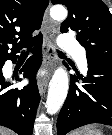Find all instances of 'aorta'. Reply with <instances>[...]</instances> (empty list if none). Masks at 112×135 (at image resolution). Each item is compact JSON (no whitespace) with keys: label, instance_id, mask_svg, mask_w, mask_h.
<instances>
[{"label":"aorta","instance_id":"obj_1","mask_svg":"<svg viewBox=\"0 0 112 135\" xmlns=\"http://www.w3.org/2000/svg\"><path fill=\"white\" fill-rule=\"evenodd\" d=\"M50 16L54 20H64L67 17V10L63 6H54L50 10ZM69 79L66 70L58 68L49 83L48 96L46 100L47 113L56 114L63 106L68 94Z\"/></svg>","mask_w":112,"mask_h":135}]
</instances>
